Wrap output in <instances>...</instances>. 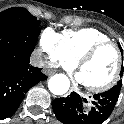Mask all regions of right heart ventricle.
Masks as SVG:
<instances>
[{
	"instance_id": "e07e8e85",
	"label": "right heart ventricle",
	"mask_w": 124,
	"mask_h": 124,
	"mask_svg": "<svg viewBox=\"0 0 124 124\" xmlns=\"http://www.w3.org/2000/svg\"><path fill=\"white\" fill-rule=\"evenodd\" d=\"M61 38L66 56L74 63L95 44L110 41L107 34L96 28L65 30Z\"/></svg>"
}]
</instances>
